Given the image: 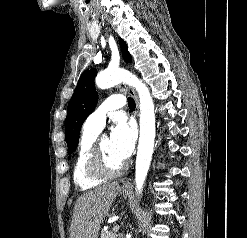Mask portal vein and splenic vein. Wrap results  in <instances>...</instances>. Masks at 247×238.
<instances>
[{
  "label": "portal vein and splenic vein",
  "mask_w": 247,
  "mask_h": 238,
  "mask_svg": "<svg viewBox=\"0 0 247 238\" xmlns=\"http://www.w3.org/2000/svg\"><path fill=\"white\" fill-rule=\"evenodd\" d=\"M119 228H120V226H119V225H116V226H114V227L112 228V231H113L114 233H117V232L119 231Z\"/></svg>",
  "instance_id": "portal-vein-and-splenic-vein-1"
}]
</instances>
